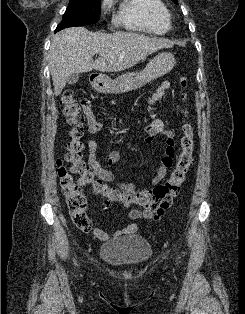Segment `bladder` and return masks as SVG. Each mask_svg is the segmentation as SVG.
Segmentation results:
<instances>
[{
  "instance_id": "1",
  "label": "bladder",
  "mask_w": 245,
  "mask_h": 314,
  "mask_svg": "<svg viewBox=\"0 0 245 314\" xmlns=\"http://www.w3.org/2000/svg\"><path fill=\"white\" fill-rule=\"evenodd\" d=\"M152 255L149 241L142 235H130L101 246L99 257L115 267H134L147 262Z\"/></svg>"
}]
</instances>
